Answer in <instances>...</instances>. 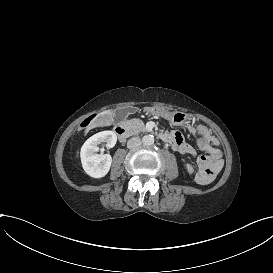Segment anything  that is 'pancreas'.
Returning <instances> with one entry per match:
<instances>
[{
    "instance_id": "1",
    "label": "pancreas",
    "mask_w": 273,
    "mask_h": 273,
    "mask_svg": "<svg viewBox=\"0 0 273 273\" xmlns=\"http://www.w3.org/2000/svg\"><path fill=\"white\" fill-rule=\"evenodd\" d=\"M126 124L130 127L135 133L146 131L144 123L140 119H131L127 120Z\"/></svg>"
}]
</instances>
